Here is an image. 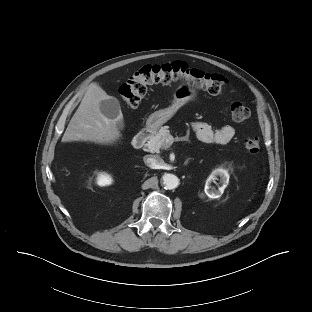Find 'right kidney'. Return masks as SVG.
<instances>
[{
  "mask_svg": "<svg viewBox=\"0 0 312 312\" xmlns=\"http://www.w3.org/2000/svg\"><path fill=\"white\" fill-rule=\"evenodd\" d=\"M112 183V178L110 175L101 173L97 178V184L100 186L110 185Z\"/></svg>",
  "mask_w": 312,
  "mask_h": 312,
  "instance_id": "obj_1",
  "label": "right kidney"
}]
</instances>
